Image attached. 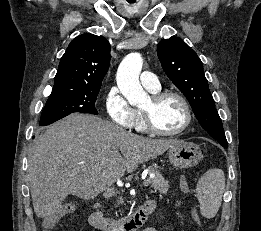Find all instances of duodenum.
<instances>
[{
    "mask_svg": "<svg viewBox=\"0 0 261 231\" xmlns=\"http://www.w3.org/2000/svg\"><path fill=\"white\" fill-rule=\"evenodd\" d=\"M154 204L144 202L132 215L120 220H113L103 216L99 211L90 215V224L101 231H136L152 212Z\"/></svg>",
    "mask_w": 261,
    "mask_h": 231,
    "instance_id": "obj_1",
    "label": "duodenum"
}]
</instances>
